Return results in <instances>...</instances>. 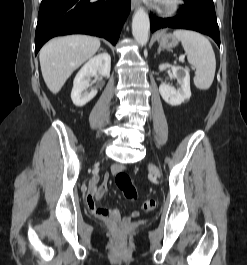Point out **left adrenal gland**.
I'll list each match as a JSON object with an SVG mask.
<instances>
[{"label": "left adrenal gland", "instance_id": "1", "mask_svg": "<svg viewBox=\"0 0 247 265\" xmlns=\"http://www.w3.org/2000/svg\"><path fill=\"white\" fill-rule=\"evenodd\" d=\"M161 50V47H159L157 53L160 54Z\"/></svg>", "mask_w": 247, "mask_h": 265}]
</instances>
